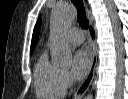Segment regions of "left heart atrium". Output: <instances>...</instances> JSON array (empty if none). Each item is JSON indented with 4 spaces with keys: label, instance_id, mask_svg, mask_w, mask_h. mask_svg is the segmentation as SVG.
I'll return each instance as SVG.
<instances>
[{
    "label": "left heart atrium",
    "instance_id": "1",
    "mask_svg": "<svg viewBox=\"0 0 128 99\" xmlns=\"http://www.w3.org/2000/svg\"><path fill=\"white\" fill-rule=\"evenodd\" d=\"M91 65V55L87 49H80L76 51L73 56V74L76 78H83Z\"/></svg>",
    "mask_w": 128,
    "mask_h": 99
}]
</instances>
